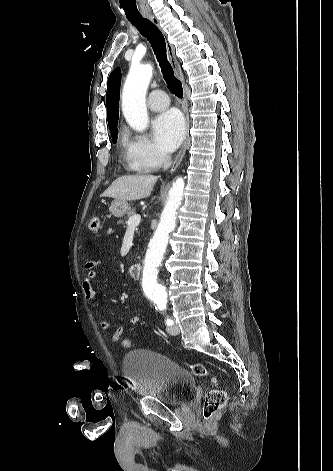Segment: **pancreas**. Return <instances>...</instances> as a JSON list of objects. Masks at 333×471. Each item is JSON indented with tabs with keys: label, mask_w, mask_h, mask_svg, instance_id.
Returning a JSON list of instances; mask_svg holds the SVG:
<instances>
[{
	"label": "pancreas",
	"mask_w": 333,
	"mask_h": 471,
	"mask_svg": "<svg viewBox=\"0 0 333 471\" xmlns=\"http://www.w3.org/2000/svg\"><path fill=\"white\" fill-rule=\"evenodd\" d=\"M135 215V209H130L129 212L127 213V217L125 218V220H122L120 223L126 227V224H127V219H129L131 216Z\"/></svg>",
	"instance_id": "cf45deb5"
}]
</instances>
